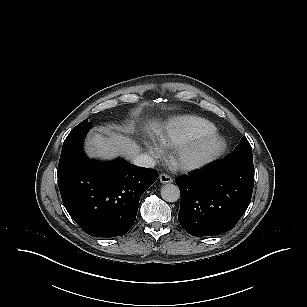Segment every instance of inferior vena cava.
Returning a JSON list of instances; mask_svg holds the SVG:
<instances>
[{
    "label": "inferior vena cava",
    "mask_w": 307,
    "mask_h": 307,
    "mask_svg": "<svg viewBox=\"0 0 307 307\" xmlns=\"http://www.w3.org/2000/svg\"><path fill=\"white\" fill-rule=\"evenodd\" d=\"M133 164L141 167L153 168L155 160L147 154H138L132 159Z\"/></svg>",
    "instance_id": "1"
}]
</instances>
